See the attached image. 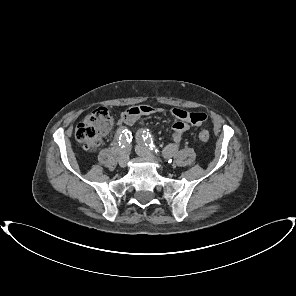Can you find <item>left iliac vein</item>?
<instances>
[{
	"label": "left iliac vein",
	"mask_w": 296,
	"mask_h": 296,
	"mask_svg": "<svg viewBox=\"0 0 296 296\" xmlns=\"http://www.w3.org/2000/svg\"><path fill=\"white\" fill-rule=\"evenodd\" d=\"M136 152L143 158L157 162V158L143 145L142 142H139V144L136 146Z\"/></svg>",
	"instance_id": "left-iliac-vein-1"
}]
</instances>
